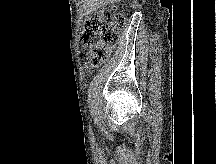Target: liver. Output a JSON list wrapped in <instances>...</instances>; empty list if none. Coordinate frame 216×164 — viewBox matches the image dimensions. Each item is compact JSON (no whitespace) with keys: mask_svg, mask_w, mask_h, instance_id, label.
Segmentation results:
<instances>
[{"mask_svg":"<svg viewBox=\"0 0 216 164\" xmlns=\"http://www.w3.org/2000/svg\"><path fill=\"white\" fill-rule=\"evenodd\" d=\"M120 1L122 0H85L87 4L85 10L87 14H90L93 11L97 10L98 8L105 7L110 3H116Z\"/></svg>","mask_w":216,"mask_h":164,"instance_id":"6515ba94","label":"liver"}]
</instances>
